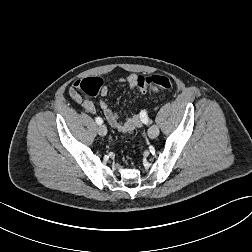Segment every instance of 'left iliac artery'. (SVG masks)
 Listing matches in <instances>:
<instances>
[{
	"mask_svg": "<svg viewBox=\"0 0 252 252\" xmlns=\"http://www.w3.org/2000/svg\"><path fill=\"white\" fill-rule=\"evenodd\" d=\"M139 118L141 120L142 125H144V126L150 125L151 120L149 118L148 113H146V112L140 113Z\"/></svg>",
	"mask_w": 252,
	"mask_h": 252,
	"instance_id": "left-iliac-artery-1",
	"label": "left iliac artery"
}]
</instances>
